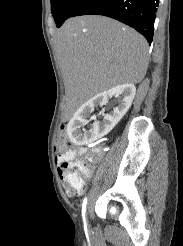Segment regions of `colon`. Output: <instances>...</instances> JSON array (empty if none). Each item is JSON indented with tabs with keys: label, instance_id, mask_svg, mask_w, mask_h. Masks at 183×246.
<instances>
[{
	"label": "colon",
	"instance_id": "colon-1",
	"mask_svg": "<svg viewBox=\"0 0 183 246\" xmlns=\"http://www.w3.org/2000/svg\"><path fill=\"white\" fill-rule=\"evenodd\" d=\"M70 147L71 142L68 138V131L65 126H61L57 133L55 152L58 156H63L70 151ZM95 153L99 154V151ZM60 168L67 174L71 193H76L83 187L85 178L90 173V167L87 163L63 161L60 164Z\"/></svg>",
	"mask_w": 183,
	"mask_h": 246
}]
</instances>
